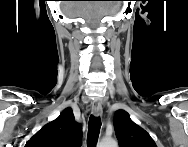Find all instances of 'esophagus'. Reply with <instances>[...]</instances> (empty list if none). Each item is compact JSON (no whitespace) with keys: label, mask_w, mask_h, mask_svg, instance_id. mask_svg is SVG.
<instances>
[{"label":"esophagus","mask_w":188,"mask_h":147,"mask_svg":"<svg viewBox=\"0 0 188 147\" xmlns=\"http://www.w3.org/2000/svg\"><path fill=\"white\" fill-rule=\"evenodd\" d=\"M92 113L95 117H99L102 115L103 109L100 102H94L92 104Z\"/></svg>","instance_id":"34e87169"}]
</instances>
